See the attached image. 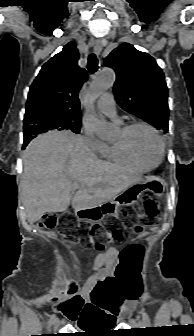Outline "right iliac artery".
I'll use <instances>...</instances> for the list:
<instances>
[{
    "instance_id": "right-iliac-artery-1",
    "label": "right iliac artery",
    "mask_w": 194,
    "mask_h": 336,
    "mask_svg": "<svg viewBox=\"0 0 194 336\" xmlns=\"http://www.w3.org/2000/svg\"><path fill=\"white\" fill-rule=\"evenodd\" d=\"M55 318H56V316L54 314L50 316V319L48 321L49 325H51L53 323Z\"/></svg>"
}]
</instances>
